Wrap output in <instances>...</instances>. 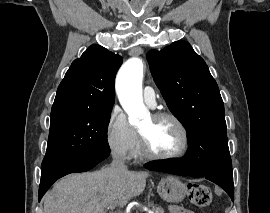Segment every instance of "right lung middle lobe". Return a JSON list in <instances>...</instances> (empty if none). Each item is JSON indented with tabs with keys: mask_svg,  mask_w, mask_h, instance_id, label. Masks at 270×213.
I'll use <instances>...</instances> for the list:
<instances>
[{
	"mask_svg": "<svg viewBox=\"0 0 270 213\" xmlns=\"http://www.w3.org/2000/svg\"><path fill=\"white\" fill-rule=\"evenodd\" d=\"M111 110L51 112L50 133L42 165L109 153L107 128Z\"/></svg>",
	"mask_w": 270,
	"mask_h": 213,
	"instance_id": "1",
	"label": "right lung middle lobe"
}]
</instances>
